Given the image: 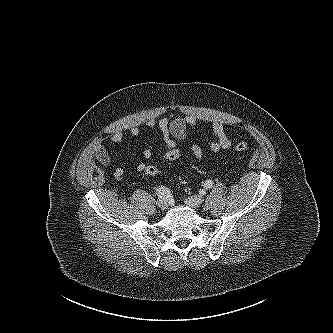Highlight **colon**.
Here are the masks:
<instances>
[{
	"instance_id": "obj_1",
	"label": "colon",
	"mask_w": 333,
	"mask_h": 333,
	"mask_svg": "<svg viewBox=\"0 0 333 333\" xmlns=\"http://www.w3.org/2000/svg\"><path fill=\"white\" fill-rule=\"evenodd\" d=\"M249 149L246 142H239L234 146V150L237 152H245ZM181 153L178 149L174 148L164 153L162 162H173L179 159ZM160 166L158 164H147L144 169V174L150 177L157 176L160 173Z\"/></svg>"
}]
</instances>
